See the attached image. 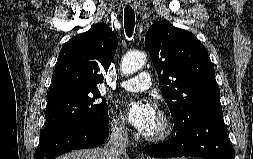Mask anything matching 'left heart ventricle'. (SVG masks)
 Returning a JSON list of instances; mask_svg holds the SVG:
<instances>
[{
	"label": "left heart ventricle",
	"mask_w": 253,
	"mask_h": 159,
	"mask_svg": "<svg viewBox=\"0 0 253 159\" xmlns=\"http://www.w3.org/2000/svg\"><path fill=\"white\" fill-rule=\"evenodd\" d=\"M160 128V121H159V118L157 117L154 125L152 126L151 130L149 131L148 134H152V133H155L159 130Z\"/></svg>",
	"instance_id": "left-heart-ventricle-1"
}]
</instances>
